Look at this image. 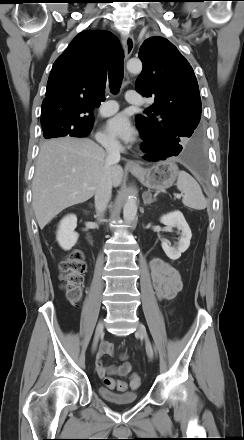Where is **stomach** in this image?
<instances>
[{
  "mask_svg": "<svg viewBox=\"0 0 244 440\" xmlns=\"http://www.w3.org/2000/svg\"><path fill=\"white\" fill-rule=\"evenodd\" d=\"M130 172L147 188L165 190L173 185L179 170L172 160H165L148 168L130 169Z\"/></svg>",
  "mask_w": 244,
  "mask_h": 440,
  "instance_id": "0dacf381",
  "label": "stomach"
}]
</instances>
